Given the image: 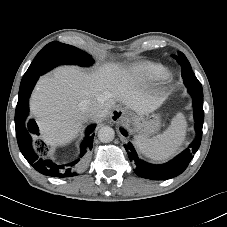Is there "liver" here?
<instances>
[{"instance_id": "1", "label": "liver", "mask_w": 227, "mask_h": 227, "mask_svg": "<svg viewBox=\"0 0 227 227\" xmlns=\"http://www.w3.org/2000/svg\"><path fill=\"white\" fill-rule=\"evenodd\" d=\"M85 100L102 105L95 116L102 119L117 101L143 115L154 112L165 98L145 93L133 71L115 64L92 72L77 66L59 67L38 81L30 99L31 112L48 144H64L75 138L89 117L81 107Z\"/></svg>"}]
</instances>
